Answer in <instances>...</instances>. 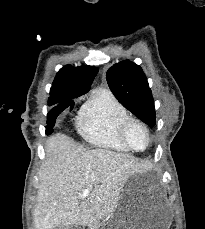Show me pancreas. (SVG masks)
I'll return each instance as SVG.
<instances>
[{
  "label": "pancreas",
  "mask_w": 205,
  "mask_h": 229,
  "mask_svg": "<svg viewBox=\"0 0 205 229\" xmlns=\"http://www.w3.org/2000/svg\"><path fill=\"white\" fill-rule=\"evenodd\" d=\"M89 229H99V225H96V224L92 225V226L89 227Z\"/></svg>",
  "instance_id": "cf45deb5"
}]
</instances>
